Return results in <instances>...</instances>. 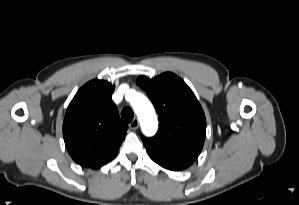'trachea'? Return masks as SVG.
Returning a JSON list of instances; mask_svg holds the SVG:
<instances>
[{
  "mask_svg": "<svg viewBox=\"0 0 299 205\" xmlns=\"http://www.w3.org/2000/svg\"><path fill=\"white\" fill-rule=\"evenodd\" d=\"M133 116H134V114L130 107H125L121 111V117L125 123L131 122L133 120Z\"/></svg>",
  "mask_w": 299,
  "mask_h": 205,
  "instance_id": "1",
  "label": "trachea"
}]
</instances>
